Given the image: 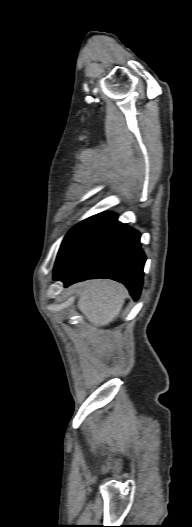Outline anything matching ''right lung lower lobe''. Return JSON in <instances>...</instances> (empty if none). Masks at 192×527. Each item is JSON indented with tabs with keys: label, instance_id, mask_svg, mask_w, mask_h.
Segmentation results:
<instances>
[{
	"label": "right lung lower lobe",
	"instance_id": "98d812e1",
	"mask_svg": "<svg viewBox=\"0 0 192 527\" xmlns=\"http://www.w3.org/2000/svg\"><path fill=\"white\" fill-rule=\"evenodd\" d=\"M145 260L140 234L118 222L116 214L100 213L68 232L58 252L54 280L67 287L86 279L110 278L125 284L137 300Z\"/></svg>",
	"mask_w": 192,
	"mask_h": 527
}]
</instances>
